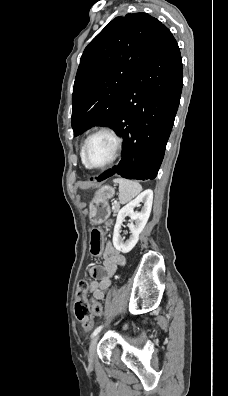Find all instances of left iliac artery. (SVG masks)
Listing matches in <instances>:
<instances>
[{"label": "left iliac artery", "mask_w": 228, "mask_h": 396, "mask_svg": "<svg viewBox=\"0 0 228 396\" xmlns=\"http://www.w3.org/2000/svg\"><path fill=\"white\" fill-rule=\"evenodd\" d=\"M102 328H103V325L98 326V327L93 331V333H92V335H91V338H93L94 336H96V335L101 331Z\"/></svg>", "instance_id": "1"}]
</instances>
